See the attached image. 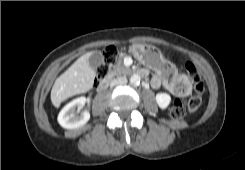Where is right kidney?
Returning <instances> with one entry per match:
<instances>
[{"instance_id":"obj_1","label":"right kidney","mask_w":245,"mask_h":170,"mask_svg":"<svg viewBox=\"0 0 245 170\" xmlns=\"http://www.w3.org/2000/svg\"><path fill=\"white\" fill-rule=\"evenodd\" d=\"M86 104V98L78 97L63 107L58 115V123L66 129H74L83 126L90 119V113L83 111L79 116L75 114L76 106L84 107Z\"/></svg>"}]
</instances>
